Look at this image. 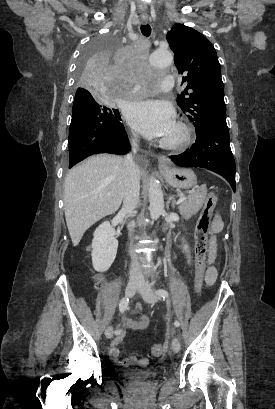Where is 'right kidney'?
<instances>
[{"instance_id": "ca27d5eb", "label": "right kidney", "mask_w": 275, "mask_h": 409, "mask_svg": "<svg viewBox=\"0 0 275 409\" xmlns=\"http://www.w3.org/2000/svg\"><path fill=\"white\" fill-rule=\"evenodd\" d=\"M115 235L116 231L109 221H104L93 233L92 265L99 273L108 271L116 257L118 241Z\"/></svg>"}]
</instances>
